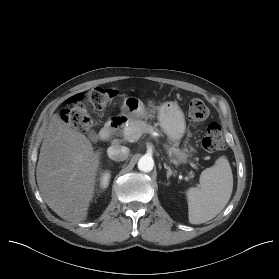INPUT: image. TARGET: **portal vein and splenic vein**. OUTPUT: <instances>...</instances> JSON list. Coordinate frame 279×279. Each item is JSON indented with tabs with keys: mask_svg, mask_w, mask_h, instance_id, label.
Masks as SVG:
<instances>
[{
	"mask_svg": "<svg viewBox=\"0 0 279 279\" xmlns=\"http://www.w3.org/2000/svg\"><path fill=\"white\" fill-rule=\"evenodd\" d=\"M128 136H129V132L126 134L125 139H127V140L130 141V142H133L132 140H129V139H128Z\"/></svg>",
	"mask_w": 279,
	"mask_h": 279,
	"instance_id": "obj_1",
	"label": "portal vein and splenic vein"
}]
</instances>
